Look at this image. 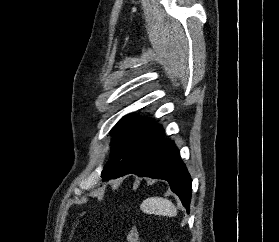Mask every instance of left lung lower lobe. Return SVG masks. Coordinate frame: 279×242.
<instances>
[{"instance_id": "0a47b994", "label": "left lung lower lobe", "mask_w": 279, "mask_h": 242, "mask_svg": "<svg viewBox=\"0 0 279 242\" xmlns=\"http://www.w3.org/2000/svg\"><path fill=\"white\" fill-rule=\"evenodd\" d=\"M129 173L168 181L171 190L179 196L189 212L192 181L174 142L162 139L133 162L121 176Z\"/></svg>"}]
</instances>
